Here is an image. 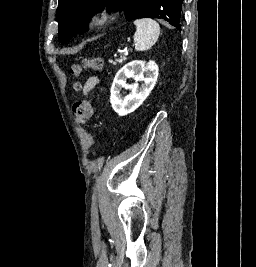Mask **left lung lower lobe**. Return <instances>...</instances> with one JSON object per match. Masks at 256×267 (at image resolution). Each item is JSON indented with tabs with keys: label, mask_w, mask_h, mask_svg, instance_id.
Segmentation results:
<instances>
[{
	"label": "left lung lower lobe",
	"mask_w": 256,
	"mask_h": 267,
	"mask_svg": "<svg viewBox=\"0 0 256 267\" xmlns=\"http://www.w3.org/2000/svg\"><path fill=\"white\" fill-rule=\"evenodd\" d=\"M182 3H183V0H175V7H176L175 27L178 28L179 30H181V27H182V16H181Z\"/></svg>",
	"instance_id": "1"
}]
</instances>
